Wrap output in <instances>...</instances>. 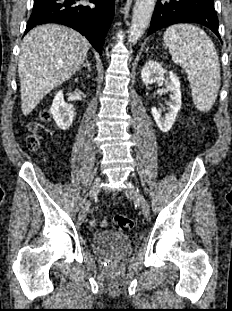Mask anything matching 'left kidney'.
I'll list each match as a JSON object with an SVG mask.
<instances>
[{
    "mask_svg": "<svg viewBox=\"0 0 232 311\" xmlns=\"http://www.w3.org/2000/svg\"><path fill=\"white\" fill-rule=\"evenodd\" d=\"M141 79L144 84H153L155 82H164L166 91L170 93V101L168 102V113L162 117L161 111L153 107L151 112L156 121L158 128L162 132H168L175 121L177 113L181 108V88L177 75L172 71H167L156 61H148L142 71Z\"/></svg>",
    "mask_w": 232,
    "mask_h": 311,
    "instance_id": "left-kidney-1",
    "label": "left kidney"
}]
</instances>
